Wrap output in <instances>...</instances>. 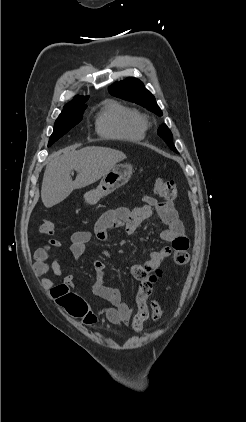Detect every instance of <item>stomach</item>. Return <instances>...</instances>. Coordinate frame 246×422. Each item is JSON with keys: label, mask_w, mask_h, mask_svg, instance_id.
<instances>
[{"label": "stomach", "mask_w": 246, "mask_h": 422, "mask_svg": "<svg viewBox=\"0 0 246 422\" xmlns=\"http://www.w3.org/2000/svg\"><path fill=\"white\" fill-rule=\"evenodd\" d=\"M133 168L129 164L116 165L104 175L99 185L84 195L88 204H96L101 198L111 194L130 180Z\"/></svg>", "instance_id": "stomach-1"}]
</instances>
